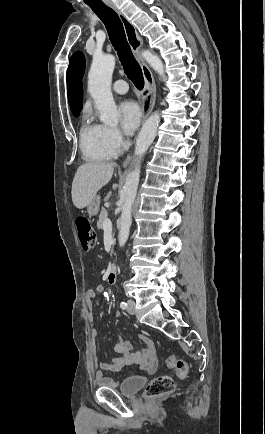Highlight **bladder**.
<instances>
[{
	"label": "bladder",
	"instance_id": "bladder-1",
	"mask_svg": "<svg viewBox=\"0 0 265 434\" xmlns=\"http://www.w3.org/2000/svg\"><path fill=\"white\" fill-rule=\"evenodd\" d=\"M144 384V378L139 376H131L122 381L118 392L124 397L133 398L141 391Z\"/></svg>",
	"mask_w": 265,
	"mask_h": 434
}]
</instances>
